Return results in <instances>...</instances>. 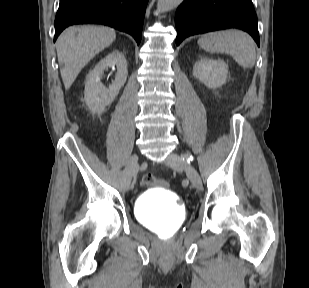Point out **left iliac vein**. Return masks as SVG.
I'll return each mask as SVG.
<instances>
[{
    "mask_svg": "<svg viewBox=\"0 0 309 288\" xmlns=\"http://www.w3.org/2000/svg\"><path fill=\"white\" fill-rule=\"evenodd\" d=\"M165 163L176 171L185 170L192 185L198 190L202 188V181L198 171L190 163L185 162L181 156L171 153Z\"/></svg>",
    "mask_w": 309,
    "mask_h": 288,
    "instance_id": "1",
    "label": "left iliac vein"
}]
</instances>
